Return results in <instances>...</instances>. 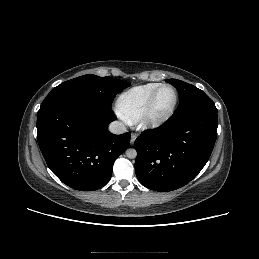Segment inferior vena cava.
I'll use <instances>...</instances> for the list:
<instances>
[{"mask_svg": "<svg viewBox=\"0 0 259 259\" xmlns=\"http://www.w3.org/2000/svg\"><path fill=\"white\" fill-rule=\"evenodd\" d=\"M109 131L113 134H123L126 132V127L122 122L114 121L110 123Z\"/></svg>", "mask_w": 259, "mask_h": 259, "instance_id": "inferior-vena-cava-1", "label": "inferior vena cava"}]
</instances>
